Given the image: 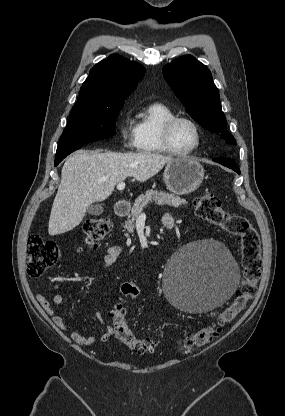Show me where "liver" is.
I'll use <instances>...</instances> for the list:
<instances>
[{
  "label": "liver",
  "mask_w": 285,
  "mask_h": 416,
  "mask_svg": "<svg viewBox=\"0 0 285 416\" xmlns=\"http://www.w3.org/2000/svg\"><path fill=\"white\" fill-rule=\"evenodd\" d=\"M100 152L79 150L66 160L49 218L50 236L70 232L79 226L89 206L107 200L115 186L128 176L137 182H146L174 160L160 154Z\"/></svg>",
  "instance_id": "liver-1"
}]
</instances>
